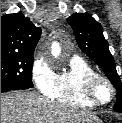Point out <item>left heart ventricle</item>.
Masks as SVG:
<instances>
[{
	"label": "left heart ventricle",
	"instance_id": "1",
	"mask_svg": "<svg viewBox=\"0 0 122 123\" xmlns=\"http://www.w3.org/2000/svg\"><path fill=\"white\" fill-rule=\"evenodd\" d=\"M96 94L99 99L107 100L110 97V90L104 83H100L96 88Z\"/></svg>",
	"mask_w": 122,
	"mask_h": 123
}]
</instances>
